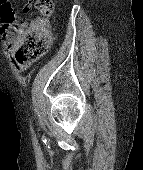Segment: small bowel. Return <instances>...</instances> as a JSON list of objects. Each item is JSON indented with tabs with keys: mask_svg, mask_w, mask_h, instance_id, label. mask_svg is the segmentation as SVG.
Returning <instances> with one entry per match:
<instances>
[{
	"mask_svg": "<svg viewBox=\"0 0 143 170\" xmlns=\"http://www.w3.org/2000/svg\"><path fill=\"white\" fill-rule=\"evenodd\" d=\"M31 6H32L31 1L29 0L28 2H26L24 4L23 11L25 13L29 12V10L31 9ZM14 23L19 24V27H18L16 33H14V31H13L12 23L2 24L1 33H2V36L7 40V49L9 52H11V57H12L15 69L18 72H23V71L27 70L31 64L30 63H20V62L16 61L14 58V51L18 47L19 42L22 37V34H23L24 30L26 29V27L28 26V23L22 17H20L18 15H16Z\"/></svg>",
	"mask_w": 143,
	"mask_h": 170,
	"instance_id": "c3829d8e",
	"label": "small bowel"
}]
</instances>
